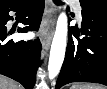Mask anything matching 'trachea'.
<instances>
[{"label":"trachea","instance_id":"trachea-1","mask_svg":"<svg viewBox=\"0 0 107 89\" xmlns=\"http://www.w3.org/2000/svg\"><path fill=\"white\" fill-rule=\"evenodd\" d=\"M54 3H55V4H62V2L59 1V0H55Z\"/></svg>","mask_w":107,"mask_h":89}]
</instances>
